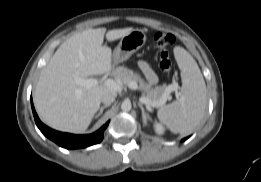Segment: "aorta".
I'll use <instances>...</instances> for the list:
<instances>
[{
	"instance_id": "1",
	"label": "aorta",
	"mask_w": 261,
	"mask_h": 182,
	"mask_svg": "<svg viewBox=\"0 0 261 182\" xmlns=\"http://www.w3.org/2000/svg\"><path fill=\"white\" fill-rule=\"evenodd\" d=\"M131 108H132V105H131L130 101L125 100V101L122 102V104H121L122 111L128 112V111L131 110Z\"/></svg>"
}]
</instances>
